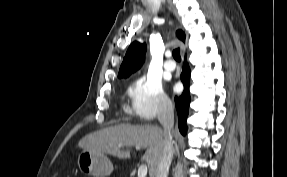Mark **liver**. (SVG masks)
<instances>
[{
  "label": "liver",
  "mask_w": 287,
  "mask_h": 177,
  "mask_svg": "<svg viewBox=\"0 0 287 177\" xmlns=\"http://www.w3.org/2000/svg\"><path fill=\"white\" fill-rule=\"evenodd\" d=\"M164 144V133L157 126L118 124L100 131L90 133L79 141L82 149L107 153L120 159L131 156L130 148L140 146L147 148L141 161H145L149 168V176L155 177ZM126 147V150L121 149ZM178 150V147H175ZM173 149V152L175 151Z\"/></svg>",
  "instance_id": "1"
}]
</instances>
